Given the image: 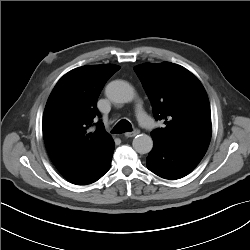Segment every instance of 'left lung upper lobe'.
<instances>
[{
  "instance_id": "left-lung-upper-lobe-1",
  "label": "left lung upper lobe",
  "mask_w": 250,
  "mask_h": 250,
  "mask_svg": "<svg viewBox=\"0 0 250 250\" xmlns=\"http://www.w3.org/2000/svg\"><path fill=\"white\" fill-rule=\"evenodd\" d=\"M135 72L164 128L151 132L164 142L207 149L211 139V112L200 81L182 66L164 62L136 66Z\"/></svg>"
}]
</instances>
